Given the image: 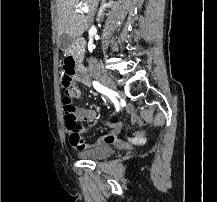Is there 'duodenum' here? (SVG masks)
Returning a JSON list of instances; mask_svg holds the SVG:
<instances>
[{
    "instance_id": "duodenum-1",
    "label": "duodenum",
    "mask_w": 217,
    "mask_h": 202,
    "mask_svg": "<svg viewBox=\"0 0 217 202\" xmlns=\"http://www.w3.org/2000/svg\"><path fill=\"white\" fill-rule=\"evenodd\" d=\"M83 43L78 41L64 52V70L74 80L89 85V76L82 63Z\"/></svg>"
}]
</instances>
